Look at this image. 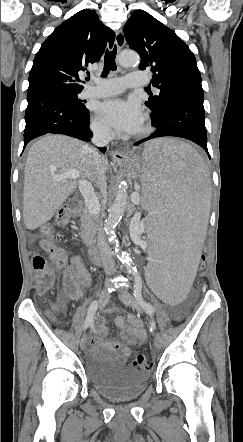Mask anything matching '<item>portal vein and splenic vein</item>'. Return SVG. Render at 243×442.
I'll use <instances>...</instances> for the list:
<instances>
[{"instance_id": "18ae733b", "label": "portal vein and splenic vein", "mask_w": 243, "mask_h": 442, "mask_svg": "<svg viewBox=\"0 0 243 442\" xmlns=\"http://www.w3.org/2000/svg\"><path fill=\"white\" fill-rule=\"evenodd\" d=\"M80 176V172L77 170H70L67 172H64L62 174L59 175H55L54 179L56 180H61V179H77ZM79 190L81 192V194L84 196L85 202L87 204V207L89 209V211L92 214H97L99 211V205L96 201V198L94 196V192H93V188L92 185L89 181L87 180H81L79 182ZM134 199L135 200H139V194L137 192L133 193Z\"/></svg>"}]
</instances>
